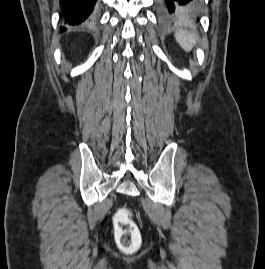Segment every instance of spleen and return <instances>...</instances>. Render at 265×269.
Instances as JSON below:
<instances>
[{
    "label": "spleen",
    "instance_id": "3e777b00",
    "mask_svg": "<svg viewBox=\"0 0 265 269\" xmlns=\"http://www.w3.org/2000/svg\"><path fill=\"white\" fill-rule=\"evenodd\" d=\"M176 41L184 49L189 52L196 45L198 36L192 31H179L175 33Z\"/></svg>",
    "mask_w": 265,
    "mask_h": 269
}]
</instances>
